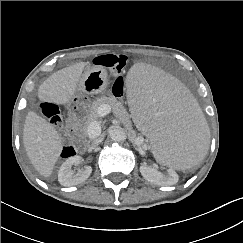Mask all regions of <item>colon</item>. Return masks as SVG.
<instances>
[{"instance_id": "5ec220e1", "label": "colon", "mask_w": 243, "mask_h": 243, "mask_svg": "<svg viewBox=\"0 0 243 243\" xmlns=\"http://www.w3.org/2000/svg\"><path fill=\"white\" fill-rule=\"evenodd\" d=\"M127 64V57L123 54L113 55L106 54L100 55L94 59V65L106 68L110 71L114 78L112 91L115 96L122 97L124 95V81L121 76V72ZM41 112L43 115L50 120L56 127H63V117L61 110L58 105L52 102H43L41 104ZM78 149V143L76 138L69 135L68 131L63 136V144L61 147V157L69 158L72 157Z\"/></svg>"}]
</instances>
